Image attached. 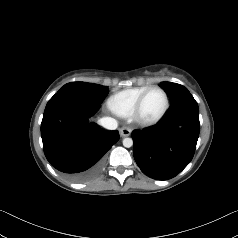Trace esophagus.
<instances>
[{
    "label": "esophagus",
    "mask_w": 238,
    "mask_h": 238,
    "mask_svg": "<svg viewBox=\"0 0 238 238\" xmlns=\"http://www.w3.org/2000/svg\"><path fill=\"white\" fill-rule=\"evenodd\" d=\"M119 131H120V135H121L122 137H127V136H129V135L131 134V132H132L131 128H129V127H123V128H121Z\"/></svg>",
    "instance_id": "esophagus-1"
}]
</instances>
